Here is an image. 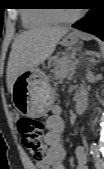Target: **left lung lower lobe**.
Wrapping results in <instances>:
<instances>
[{"label":"left lung lower lobe","instance_id":"obj_1","mask_svg":"<svg viewBox=\"0 0 104 169\" xmlns=\"http://www.w3.org/2000/svg\"><path fill=\"white\" fill-rule=\"evenodd\" d=\"M72 27L104 39V10L92 8L86 17L76 22Z\"/></svg>","mask_w":104,"mask_h":169}]
</instances>
